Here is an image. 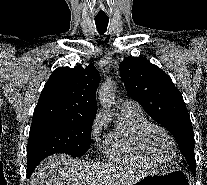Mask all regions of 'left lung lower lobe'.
I'll use <instances>...</instances> for the list:
<instances>
[{"label":"left lung lower lobe","mask_w":207,"mask_h":185,"mask_svg":"<svg viewBox=\"0 0 207 185\" xmlns=\"http://www.w3.org/2000/svg\"><path fill=\"white\" fill-rule=\"evenodd\" d=\"M192 173H193V174H195V170H194V171H192Z\"/></svg>","instance_id":"left-lung-lower-lobe-1"}]
</instances>
